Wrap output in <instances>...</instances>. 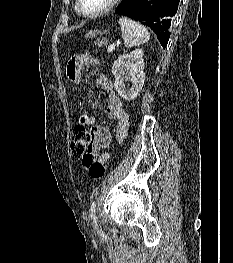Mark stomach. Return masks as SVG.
<instances>
[{
	"label": "stomach",
	"mask_w": 233,
	"mask_h": 263,
	"mask_svg": "<svg viewBox=\"0 0 233 263\" xmlns=\"http://www.w3.org/2000/svg\"><path fill=\"white\" fill-rule=\"evenodd\" d=\"M106 31H104V33H105ZM97 34V31H90V32H88L86 35H85V37L86 38H93V37H95V35Z\"/></svg>",
	"instance_id": "1"
}]
</instances>
